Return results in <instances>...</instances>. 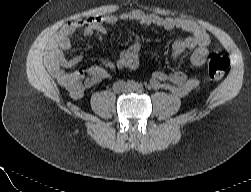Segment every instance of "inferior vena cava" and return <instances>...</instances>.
Returning a JSON list of instances; mask_svg holds the SVG:
<instances>
[{
    "instance_id": "inferior-vena-cava-1",
    "label": "inferior vena cava",
    "mask_w": 251,
    "mask_h": 192,
    "mask_svg": "<svg viewBox=\"0 0 251 192\" xmlns=\"http://www.w3.org/2000/svg\"><path fill=\"white\" fill-rule=\"evenodd\" d=\"M120 86V88H119ZM127 88H126V85L123 81H118L114 84V87H113V90L115 92H122V91H125Z\"/></svg>"
}]
</instances>
